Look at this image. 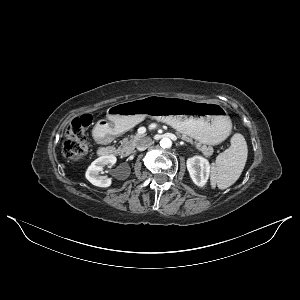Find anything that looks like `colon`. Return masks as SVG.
I'll return each mask as SVG.
<instances>
[{
	"label": "colon",
	"instance_id": "obj_1",
	"mask_svg": "<svg viewBox=\"0 0 300 300\" xmlns=\"http://www.w3.org/2000/svg\"><path fill=\"white\" fill-rule=\"evenodd\" d=\"M91 122L89 115H83L72 123L64 143V153L69 161H78L86 154V133Z\"/></svg>",
	"mask_w": 300,
	"mask_h": 300
}]
</instances>
